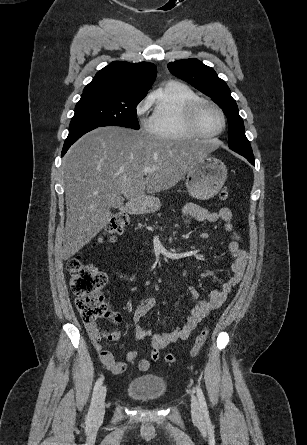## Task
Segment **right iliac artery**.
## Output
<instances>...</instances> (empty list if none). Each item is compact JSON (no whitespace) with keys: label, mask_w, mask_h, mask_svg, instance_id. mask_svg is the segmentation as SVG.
Masks as SVG:
<instances>
[{"label":"right iliac artery","mask_w":307,"mask_h":445,"mask_svg":"<svg viewBox=\"0 0 307 445\" xmlns=\"http://www.w3.org/2000/svg\"><path fill=\"white\" fill-rule=\"evenodd\" d=\"M101 385H102V379L100 378V379H98L96 381L94 389H93V397H92L91 405H90L89 412H88V415H87V419L88 420H91L93 418L94 410H95L94 408H95L96 397H97V394H98V391H99Z\"/></svg>","instance_id":"82829eb1"}]
</instances>
